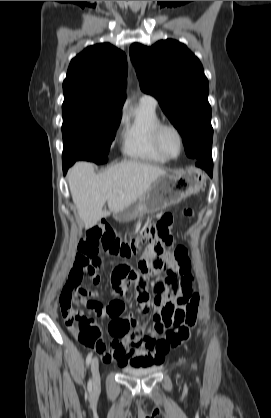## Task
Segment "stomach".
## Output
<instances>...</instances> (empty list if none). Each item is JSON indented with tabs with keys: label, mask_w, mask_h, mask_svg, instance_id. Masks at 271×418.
Returning <instances> with one entry per match:
<instances>
[{
	"label": "stomach",
	"mask_w": 271,
	"mask_h": 418,
	"mask_svg": "<svg viewBox=\"0 0 271 418\" xmlns=\"http://www.w3.org/2000/svg\"><path fill=\"white\" fill-rule=\"evenodd\" d=\"M205 183L206 174L196 167L177 174L166 173L157 178L139 199L115 213L114 218L119 222H128L142 213L164 210L198 193Z\"/></svg>",
	"instance_id": "1"
}]
</instances>
